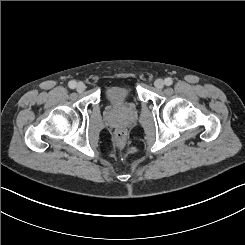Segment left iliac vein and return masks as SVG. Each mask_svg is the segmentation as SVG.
Masks as SVG:
<instances>
[{
  "label": "left iliac vein",
  "mask_w": 245,
  "mask_h": 245,
  "mask_svg": "<svg viewBox=\"0 0 245 245\" xmlns=\"http://www.w3.org/2000/svg\"><path fill=\"white\" fill-rule=\"evenodd\" d=\"M154 85L157 89H162L164 87V81L162 79H157L154 82Z\"/></svg>",
  "instance_id": "4c4485c4"
}]
</instances>
